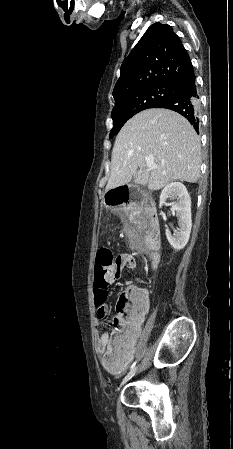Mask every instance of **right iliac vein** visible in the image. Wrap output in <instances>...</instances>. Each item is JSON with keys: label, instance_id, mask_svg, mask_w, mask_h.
Wrapping results in <instances>:
<instances>
[{"label": "right iliac vein", "instance_id": "right-iliac-vein-1", "mask_svg": "<svg viewBox=\"0 0 233 449\" xmlns=\"http://www.w3.org/2000/svg\"><path fill=\"white\" fill-rule=\"evenodd\" d=\"M138 371V367H134L123 379L121 386H123L124 384H126Z\"/></svg>", "mask_w": 233, "mask_h": 449}]
</instances>
